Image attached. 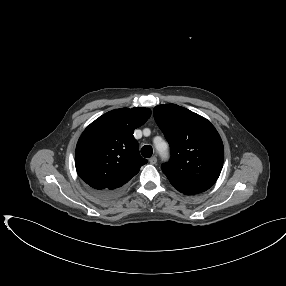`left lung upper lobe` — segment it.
Wrapping results in <instances>:
<instances>
[{
    "label": "left lung upper lobe",
    "mask_w": 286,
    "mask_h": 286,
    "mask_svg": "<svg viewBox=\"0 0 286 286\" xmlns=\"http://www.w3.org/2000/svg\"><path fill=\"white\" fill-rule=\"evenodd\" d=\"M154 118L171 148V159L162 165L170 183L186 195L209 189L223 166L222 140L204 117L175 104L154 108Z\"/></svg>",
    "instance_id": "left-lung-upper-lobe-1"
}]
</instances>
